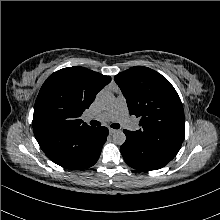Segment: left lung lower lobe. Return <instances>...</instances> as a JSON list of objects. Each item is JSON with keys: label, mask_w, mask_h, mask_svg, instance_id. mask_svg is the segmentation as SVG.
<instances>
[{"label": "left lung lower lobe", "mask_w": 220, "mask_h": 220, "mask_svg": "<svg viewBox=\"0 0 220 220\" xmlns=\"http://www.w3.org/2000/svg\"><path fill=\"white\" fill-rule=\"evenodd\" d=\"M125 143L120 147L125 162L141 171L157 170L164 167L175 156L132 136L127 130Z\"/></svg>", "instance_id": "1"}]
</instances>
